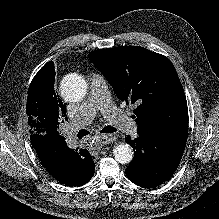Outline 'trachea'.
Returning a JSON list of instances; mask_svg holds the SVG:
<instances>
[{
    "instance_id": "1",
    "label": "trachea",
    "mask_w": 219,
    "mask_h": 219,
    "mask_svg": "<svg viewBox=\"0 0 219 219\" xmlns=\"http://www.w3.org/2000/svg\"><path fill=\"white\" fill-rule=\"evenodd\" d=\"M116 129L112 126H105L102 130H101V133H113L115 132ZM89 134V132L87 130H81L78 134V136L80 137H83L85 135Z\"/></svg>"
}]
</instances>
